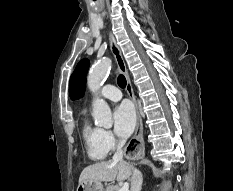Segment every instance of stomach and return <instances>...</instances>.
<instances>
[{"instance_id": "1", "label": "stomach", "mask_w": 233, "mask_h": 191, "mask_svg": "<svg viewBox=\"0 0 233 191\" xmlns=\"http://www.w3.org/2000/svg\"><path fill=\"white\" fill-rule=\"evenodd\" d=\"M76 191H106L101 182H85L79 184Z\"/></svg>"}]
</instances>
